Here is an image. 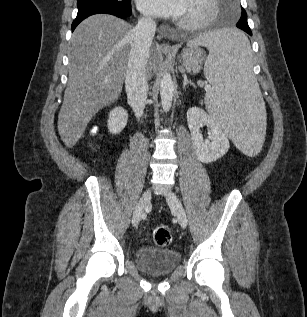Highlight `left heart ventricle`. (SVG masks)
Returning a JSON list of instances; mask_svg holds the SVG:
<instances>
[{
    "instance_id": "1",
    "label": "left heart ventricle",
    "mask_w": 307,
    "mask_h": 317,
    "mask_svg": "<svg viewBox=\"0 0 307 317\" xmlns=\"http://www.w3.org/2000/svg\"><path fill=\"white\" fill-rule=\"evenodd\" d=\"M208 9L200 0H189L180 20H196L203 17Z\"/></svg>"
}]
</instances>
